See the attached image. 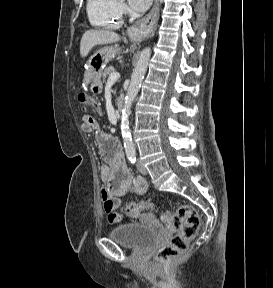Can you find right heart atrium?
Here are the masks:
<instances>
[{"label": "right heart atrium", "instance_id": "1", "mask_svg": "<svg viewBox=\"0 0 273 288\" xmlns=\"http://www.w3.org/2000/svg\"><path fill=\"white\" fill-rule=\"evenodd\" d=\"M117 7L119 12L123 15L127 12V7L126 5L122 2V0L117 1Z\"/></svg>", "mask_w": 273, "mask_h": 288}]
</instances>
